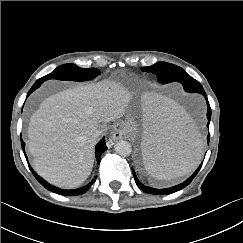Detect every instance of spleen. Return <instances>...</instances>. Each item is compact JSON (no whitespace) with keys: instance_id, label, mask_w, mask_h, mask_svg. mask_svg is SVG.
<instances>
[{"instance_id":"spleen-1","label":"spleen","mask_w":243,"mask_h":243,"mask_svg":"<svg viewBox=\"0 0 243 243\" xmlns=\"http://www.w3.org/2000/svg\"><path fill=\"white\" fill-rule=\"evenodd\" d=\"M139 128L141 161L158 180L189 174L198 165L204 142L193 119L170 99L143 97Z\"/></svg>"}]
</instances>
